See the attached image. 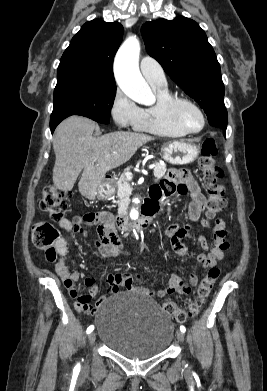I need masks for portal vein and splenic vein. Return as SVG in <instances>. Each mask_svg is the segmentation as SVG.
<instances>
[{
	"label": "portal vein and splenic vein",
	"instance_id": "18ae733b",
	"mask_svg": "<svg viewBox=\"0 0 267 391\" xmlns=\"http://www.w3.org/2000/svg\"><path fill=\"white\" fill-rule=\"evenodd\" d=\"M154 167H155V165H154V164H151V165L149 166V169H153ZM125 175H126V177H127L129 180H131V179L133 178V175H132L131 172H127Z\"/></svg>",
	"mask_w": 267,
	"mask_h": 391
}]
</instances>
